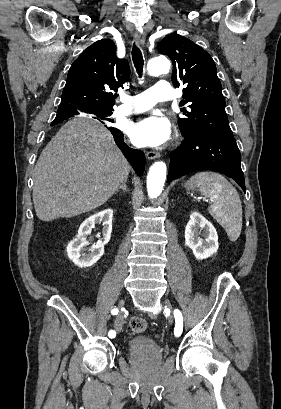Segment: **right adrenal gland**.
<instances>
[{
	"mask_svg": "<svg viewBox=\"0 0 281 409\" xmlns=\"http://www.w3.org/2000/svg\"><path fill=\"white\" fill-rule=\"evenodd\" d=\"M127 178L126 180H122V184H120V186H118V188H116L115 192H118L119 188H122L123 192H125V190H127Z\"/></svg>",
	"mask_w": 281,
	"mask_h": 409,
	"instance_id": "right-adrenal-gland-1",
	"label": "right adrenal gland"
}]
</instances>
